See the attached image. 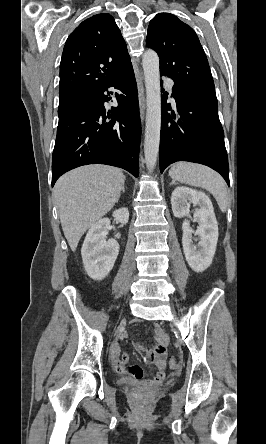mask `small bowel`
I'll return each instance as SVG.
<instances>
[{"instance_id": "c3829d8e", "label": "small bowel", "mask_w": 266, "mask_h": 444, "mask_svg": "<svg viewBox=\"0 0 266 444\" xmlns=\"http://www.w3.org/2000/svg\"><path fill=\"white\" fill-rule=\"evenodd\" d=\"M155 346L151 349L145 348L140 344H135L137 352L144 358L147 363L153 364L157 368V372L151 379H143L144 372L140 366L130 365L129 356L123 354L120 360L114 361L117 371L130 379L138 381L144 385L153 386L162 383L166 377V351H167V335L159 327L155 328ZM118 343L114 344L115 354L118 352Z\"/></svg>"}]
</instances>
